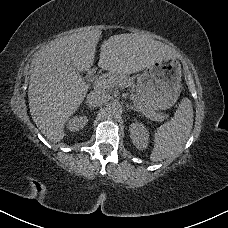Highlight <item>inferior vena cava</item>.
<instances>
[{"mask_svg": "<svg viewBox=\"0 0 228 228\" xmlns=\"http://www.w3.org/2000/svg\"><path fill=\"white\" fill-rule=\"evenodd\" d=\"M110 96L104 90H96L87 95V104L93 107H99L109 100Z\"/></svg>", "mask_w": 228, "mask_h": 228, "instance_id": "602c4592", "label": "inferior vena cava"}]
</instances>
